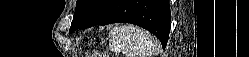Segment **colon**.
<instances>
[{
	"mask_svg": "<svg viewBox=\"0 0 249 57\" xmlns=\"http://www.w3.org/2000/svg\"><path fill=\"white\" fill-rule=\"evenodd\" d=\"M91 57H105V55H104L102 52L94 51V52L91 54Z\"/></svg>",
	"mask_w": 249,
	"mask_h": 57,
	"instance_id": "obj_1",
	"label": "colon"
}]
</instances>
